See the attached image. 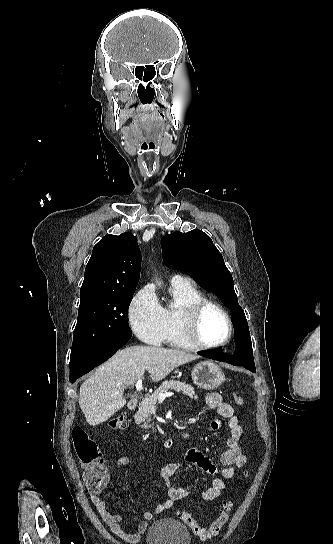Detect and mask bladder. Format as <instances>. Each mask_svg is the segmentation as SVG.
I'll list each match as a JSON object with an SVG mask.
<instances>
[{"instance_id": "1", "label": "bladder", "mask_w": 333, "mask_h": 544, "mask_svg": "<svg viewBox=\"0 0 333 544\" xmlns=\"http://www.w3.org/2000/svg\"><path fill=\"white\" fill-rule=\"evenodd\" d=\"M190 533L181 522L171 518L155 521L147 531L146 544H190Z\"/></svg>"}]
</instances>
